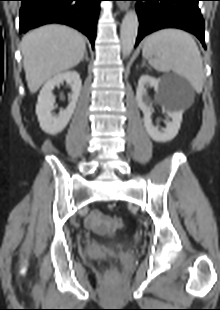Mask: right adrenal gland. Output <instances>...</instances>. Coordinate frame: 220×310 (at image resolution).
Wrapping results in <instances>:
<instances>
[{"instance_id": "right-adrenal-gland-1", "label": "right adrenal gland", "mask_w": 220, "mask_h": 310, "mask_svg": "<svg viewBox=\"0 0 220 310\" xmlns=\"http://www.w3.org/2000/svg\"><path fill=\"white\" fill-rule=\"evenodd\" d=\"M84 59H85L86 61H89L87 51L85 52V55H84V57H83L82 61H83Z\"/></svg>"}]
</instances>
